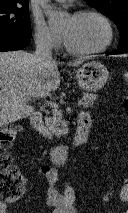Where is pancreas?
I'll list each match as a JSON object with an SVG mask.
<instances>
[{"mask_svg":"<svg viewBox=\"0 0 128 213\" xmlns=\"http://www.w3.org/2000/svg\"><path fill=\"white\" fill-rule=\"evenodd\" d=\"M97 96L94 94L83 93L80 105L84 108H89L93 105ZM51 116L45 117V132L50 138L53 136L60 137L68 133L67 125L62 121V113L59 109L54 108L51 111Z\"/></svg>","mask_w":128,"mask_h":213,"instance_id":"pancreas-1","label":"pancreas"}]
</instances>
